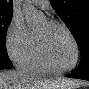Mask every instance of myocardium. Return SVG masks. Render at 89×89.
<instances>
[{"label": "myocardium", "instance_id": "f54148a6", "mask_svg": "<svg viewBox=\"0 0 89 89\" xmlns=\"http://www.w3.org/2000/svg\"><path fill=\"white\" fill-rule=\"evenodd\" d=\"M48 23L51 24V25L59 26L66 31V33L68 34L69 38L71 39V41L73 43V46H74V49H75V57H74V61H73L71 66H69L67 68H63V69L54 68L51 65V63H50V61H49V59L46 55V52L44 50V47H43L38 35L35 33L36 47H37V51H38V54H39L42 62L53 74H63L67 71L73 70L78 65L79 57H80L79 45L77 43L75 36L73 35L70 28L63 22H60L58 20H49Z\"/></svg>", "mask_w": 89, "mask_h": 89}]
</instances>
